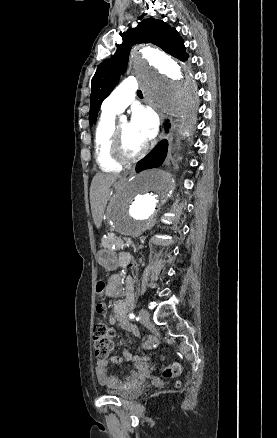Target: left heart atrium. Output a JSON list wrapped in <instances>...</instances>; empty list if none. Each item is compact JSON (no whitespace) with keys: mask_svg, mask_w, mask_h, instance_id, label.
<instances>
[{"mask_svg":"<svg viewBox=\"0 0 277 438\" xmlns=\"http://www.w3.org/2000/svg\"><path fill=\"white\" fill-rule=\"evenodd\" d=\"M131 126L142 148L147 145L156 132L154 115L148 108L144 107H137L133 110Z\"/></svg>","mask_w":277,"mask_h":438,"instance_id":"left-heart-atrium-1","label":"left heart atrium"}]
</instances>
